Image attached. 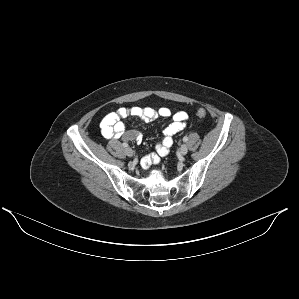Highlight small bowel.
<instances>
[{
    "label": "small bowel",
    "mask_w": 299,
    "mask_h": 299,
    "mask_svg": "<svg viewBox=\"0 0 299 299\" xmlns=\"http://www.w3.org/2000/svg\"><path fill=\"white\" fill-rule=\"evenodd\" d=\"M127 116H135L147 121L154 120L158 117H171L172 119V121L164 128L162 141L157 144L155 151L142 159L141 165L144 169L159 164L162 158L169 155L173 145V137L185 128L187 119V114L185 112L180 111L172 114L170 109L166 107L159 108L158 110L139 106L132 108L120 107L103 118L101 122L103 136L109 139L140 142L142 140L140 131L136 129H125L121 119Z\"/></svg>",
    "instance_id": "1"
}]
</instances>
